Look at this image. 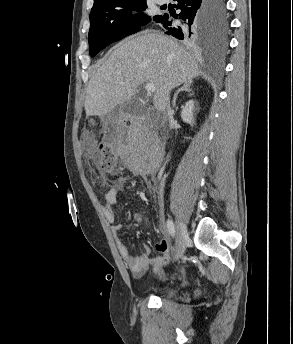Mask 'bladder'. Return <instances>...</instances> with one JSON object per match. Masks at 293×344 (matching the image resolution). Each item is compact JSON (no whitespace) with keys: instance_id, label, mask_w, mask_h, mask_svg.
Returning a JSON list of instances; mask_svg holds the SVG:
<instances>
[{"instance_id":"obj_1","label":"bladder","mask_w":293,"mask_h":344,"mask_svg":"<svg viewBox=\"0 0 293 344\" xmlns=\"http://www.w3.org/2000/svg\"><path fill=\"white\" fill-rule=\"evenodd\" d=\"M162 294H163L165 297L170 298V297H173V296L176 294V292H175L174 290L165 289V290L162 291Z\"/></svg>"}]
</instances>
